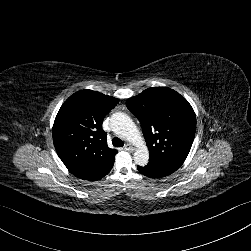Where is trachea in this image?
Instances as JSON below:
<instances>
[{
  "mask_svg": "<svg viewBox=\"0 0 251 251\" xmlns=\"http://www.w3.org/2000/svg\"><path fill=\"white\" fill-rule=\"evenodd\" d=\"M112 143H113V146H116V147H122L124 145V142L118 137H114L112 140Z\"/></svg>",
  "mask_w": 251,
  "mask_h": 251,
  "instance_id": "trachea-1",
  "label": "trachea"
}]
</instances>
